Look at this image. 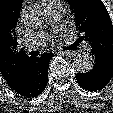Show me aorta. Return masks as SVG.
<instances>
[{
  "instance_id": "762f6f07",
  "label": "aorta",
  "mask_w": 113,
  "mask_h": 113,
  "mask_svg": "<svg viewBox=\"0 0 113 113\" xmlns=\"http://www.w3.org/2000/svg\"><path fill=\"white\" fill-rule=\"evenodd\" d=\"M22 17L31 18L33 17V12L24 10L22 12ZM72 65L77 72L87 73L92 70L94 66V59L89 54L80 53L74 57Z\"/></svg>"
}]
</instances>
